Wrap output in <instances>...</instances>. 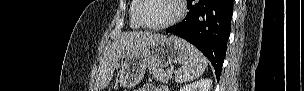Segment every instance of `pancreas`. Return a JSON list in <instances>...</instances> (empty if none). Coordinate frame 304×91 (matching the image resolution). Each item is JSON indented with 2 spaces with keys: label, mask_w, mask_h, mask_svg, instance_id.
<instances>
[{
  "label": "pancreas",
  "mask_w": 304,
  "mask_h": 91,
  "mask_svg": "<svg viewBox=\"0 0 304 91\" xmlns=\"http://www.w3.org/2000/svg\"><path fill=\"white\" fill-rule=\"evenodd\" d=\"M150 73L154 79H156L157 81L163 82V83L168 82L172 78V74H170L169 72H166L162 69H157V68L151 67Z\"/></svg>",
  "instance_id": "1"
}]
</instances>
